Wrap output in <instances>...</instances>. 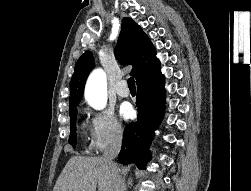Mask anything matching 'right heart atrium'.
Returning <instances> with one entry per match:
<instances>
[{"label": "right heart atrium", "instance_id": "1", "mask_svg": "<svg viewBox=\"0 0 251 191\" xmlns=\"http://www.w3.org/2000/svg\"><path fill=\"white\" fill-rule=\"evenodd\" d=\"M89 132L91 148L96 152L120 143L123 138V128L114 114L108 110L92 113Z\"/></svg>", "mask_w": 251, "mask_h": 191}]
</instances>
